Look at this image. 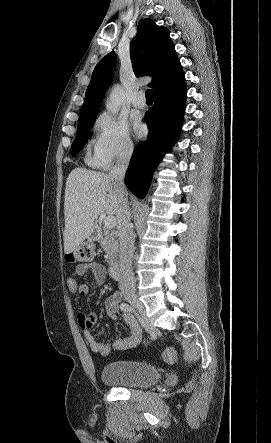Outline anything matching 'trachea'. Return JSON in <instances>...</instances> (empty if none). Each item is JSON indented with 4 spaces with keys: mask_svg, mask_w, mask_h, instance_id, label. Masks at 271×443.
I'll use <instances>...</instances> for the list:
<instances>
[{
    "mask_svg": "<svg viewBox=\"0 0 271 443\" xmlns=\"http://www.w3.org/2000/svg\"><path fill=\"white\" fill-rule=\"evenodd\" d=\"M145 95L147 100H152V90H146Z\"/></svg>",
    "mask_w": 271,
    "mask_h": 443,
    "instance_id": "3493384b",
    "label": "trachea"
}]
</instances>
